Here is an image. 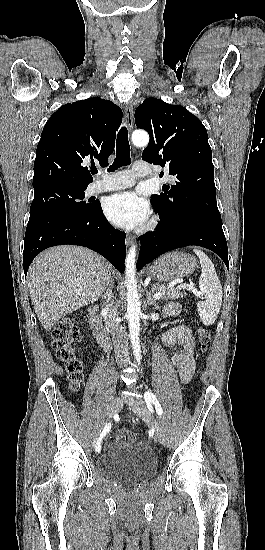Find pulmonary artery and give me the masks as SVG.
I'll list each match as a JSON object with an SVG mask.
<instances>
[{
	"label": "pulmonary artery",
	"mask_w": 265,
	"mask_h": 550,
	"mask_svg": "<svg viewBox=\"0 0 265 550\" xmlns=\"http://www.w3.org/2000/svg\"><path fill=\"white\" fill-rule=\"evenodd\" d=\"M150 174V170L145 167V162L137 161L134 165L133 171L122 170L113 173L108 179L96 181L89 185L87 188V193L93 195L101 192L125 189L134 185L137 177Z\"/></svg>",
	"instance_id": "pulmonary-artery-1"
}]
</instances>
